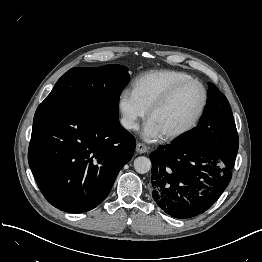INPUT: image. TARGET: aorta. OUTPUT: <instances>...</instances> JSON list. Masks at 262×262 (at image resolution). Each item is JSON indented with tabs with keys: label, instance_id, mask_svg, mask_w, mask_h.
I'll return each mask as SVG.
<instances>
[{
	"label": "aorta",
	"instance_id": "aorta-1",
	"mask_svg": "<svg viewBox=\"0 0 262 262\" xmlns=\"http://www.w3.org/2000/svg\"><path fill=\"white\" fill-rule=\"evenodd\" d=\"M134 169L140 174H145L151 169V161L145 156L137 157L134 160Z\"/></svg>",
	"mask_w": 262,
	"mask_h": 262
}]
</instances>
